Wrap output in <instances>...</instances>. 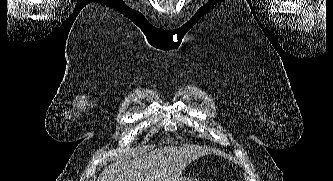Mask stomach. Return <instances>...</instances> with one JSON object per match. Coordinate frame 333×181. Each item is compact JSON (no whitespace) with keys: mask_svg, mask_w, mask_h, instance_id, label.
<instances>
[{"mask_svg":"<svg viewBox=\"0 0 333 181\" xmlns=\"http://www.w3.org/2000/svg\"><path fill=\"white\" fill-rule=\"evenodd\" d=\"M177 181H192V180L188 177H180V178H178Z\"/></svg>","mask_w":333,"mask_h":181,"instance_id":"1","label":"stomach"}]
</instances>
